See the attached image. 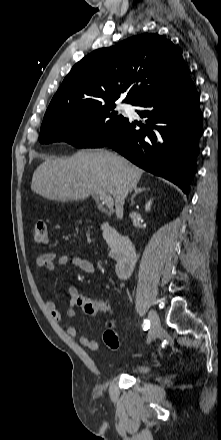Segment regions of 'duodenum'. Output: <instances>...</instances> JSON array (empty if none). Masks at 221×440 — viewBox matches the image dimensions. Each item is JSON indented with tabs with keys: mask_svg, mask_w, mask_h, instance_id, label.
Wrapping results in <instances>:
<instances>
[{
	"mask_svg": "<svg viewBox=\"0 0 221 440\" xmlns=\"http://www.w3.org/2000/svg\"><path fill=\"white\" fill-rule=\"evenodd\" d=\"M102 232L107 241L116 244L120 248L122 254L116 265V274L120 279L127 278L137 260V253L132 241L128 236L120 234L116 228L109 224L102 226Z\"/></svg>",
	"mask_w": 221,
	"mask_h": 440,
	"instance_id": "410a0bca",
	"label": "duodenum"
}]
</instances>
